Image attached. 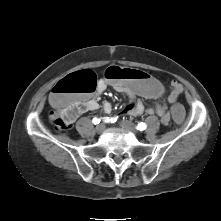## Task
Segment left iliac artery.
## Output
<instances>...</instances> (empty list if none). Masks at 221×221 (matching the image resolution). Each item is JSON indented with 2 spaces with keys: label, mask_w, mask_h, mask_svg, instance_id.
Wrapping results in <instances>:
<instances>
[{
  "label": "left iliac artery",
  "mask_w": 221,
  "mask_h": 221,
  "mask_svg": "<svg viewBox=\"0 0 221 221\" xmlns=\"http://www.w3.org/2000/svg\"><path fill=\"white\" fill-rule=\"evenodd\" d=\"M146 124L145 123H143V122H141V123H138V125H137V129L138 130H140V131H143V130H145L146 129Z\"/></svg>",
  "instance_id": "left-iliac-artery-1"
}]
</instances>
